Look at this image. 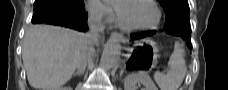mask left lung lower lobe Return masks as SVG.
<instances>
[{"mask_svg": "<svg viewBox=\"0 0 228 90\" xmlns=\"http://www.w3.org/2000/svg\"><path fill=\"white\" fill-rule=\"evenodd\" d=\"M165 29H166V32L168 34L180 36L181 38H183L187 42L188 47L192 48L191 30H182V29H179V28H165ZM154 33H155V31L132 34L131 38L132 39H140V38L146 37L148 35H153Z\"/></svg>", "mask_w": 228, "mask_h": 90, "instance_id": "obj_1", "label": "left lung lower lobe"}]
</instances>
